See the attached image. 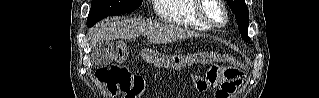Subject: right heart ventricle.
<instances>
[{
    "label": "right heart ventricle",
    "mask_w": 319,
    "mask_h": 98,
    "mask_svg": "<svg viewBox=\"0 0 319 98\" xmlns=\"http://www.w3.org/2000/svg\"><path fill=\"white\" fill-rule=\"evenodd\" d=\"M198 0H156L155 10L164 21L191 28L207 31L206 26L197 14Z\"/></svg>",
    "instance_id": "right-heart-ventricle-1"
}]
</instances>
